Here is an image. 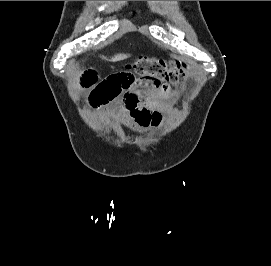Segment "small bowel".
I'll return each instance as SVG.
<instances>
[{
    "label": "small bowel",
    "mask_w": 271,
    "mask_h": 266,
    "mask_svg": "<svg viewBox=\"0 0 271 266\" xmlns=\"http://www.w3.org/2000/svg\"><path fill=\"white\" fill-rule=\"evenodd\" d=\"M137 74L128 68L101 79L96 70L89 68L79 75L77 84L81 90L89 92L88 107H106L108 115L139 132L161 123L165 111L162 101L172 91L157 77H138ZM122 93V99L117 101Z\"/></svg>",
    "instance_id": "obj_1"
}]
</instances>
